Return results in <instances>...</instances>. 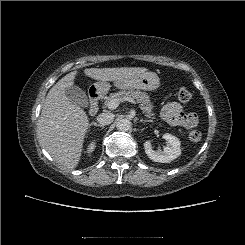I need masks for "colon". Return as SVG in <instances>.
Masks as SVG:
<instances>
[{"instance_id":"5ec220e1","label":"colon","mask_w":245,"mask_h":245,"mask_svg":"<svg viewBox=\"0 0 245 245\" xmlns=\"http://www.w3.org/2000/svg\"><path fill=\"white\" fill-rule=\"evenodd\" d=\"M191 97H192V94L187 88H180L179 89L178 99L180 102L187 103L190 101ZM201 138H202V133L199 130L194 129V130L190 131L189 139L192 142H198L201 140Z\"/></svg>"}]
</instances>
